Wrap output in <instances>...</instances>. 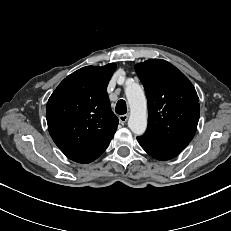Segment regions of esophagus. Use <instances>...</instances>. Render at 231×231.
Returning <instances> with one entry per match:
<instances>
[{"label":"esophagus","mask_w":231,"mask_h":231,"mask_svg":"<svg viewBox=\"0 0 231 231\" xmlns=\"http://www.w3.org/2000/svg\"><path fill=\"white\" fill-rule=\"evenodd\" d=\"M128 120V115L127 114H124V115H120L119 116V121L120 123H126V121Z\"/></svg>","instance_id":"esophagus-1"}]
</instances>
